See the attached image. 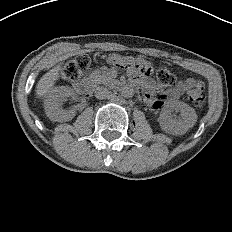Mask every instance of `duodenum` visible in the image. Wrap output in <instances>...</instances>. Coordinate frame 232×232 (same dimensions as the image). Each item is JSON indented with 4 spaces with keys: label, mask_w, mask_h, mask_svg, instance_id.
I'll return each mask as SVG.
<instances>
[{
    "label": "duodenum",
    "mask_w": 232,
    "mask_h": 232,
    "mask_svg": "<svg viewBox=\"0 0 232 232\" xmlns=\"http://www.w3.org/2000/svg\"><path fill=\"white\" fill-rule=\"evenodd\" d=\"M77 90L82 93L90 94L93 90L92 83L89 79H83L75 84Z\"/></svg>",
    "instance_id": "obj_1"
}]
</instances>
